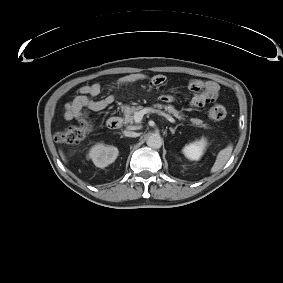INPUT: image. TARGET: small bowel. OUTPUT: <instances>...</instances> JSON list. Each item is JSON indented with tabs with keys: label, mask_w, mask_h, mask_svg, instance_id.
<instances>
[{
	"label": "small bowel",
	"mask_w": 283,
	"mask_h": 283,
	"mask_svg": "<svg viewBox=\"0 0 283 283\" xmlns=\"http://www.w3.org/2000/svg\"><path fill=\"white\" fill-rule=\"evenodd\" d=\"M148 79L144 73H130L124 75L119 80L120 86H128L143 80ZM165 78L161 75L152 78L151 83L155 86L162 85ZM190 89L194 92L191 99V106L194 108H201L206 103L217 98L219 92V85L214 81L202 82L200 80H193L189 84ZM101 92L99 83L85 84L78 90L77 95L65 105L64 118L66 120L80 119L83 109L91 111H100L113 104L115 95L109 94L102 99H94ZM162 101L171 103L174 97L170 94L162 96Z\"/></svg>",
	"instance_id": "small-bowel-1"
}]
</instances>
